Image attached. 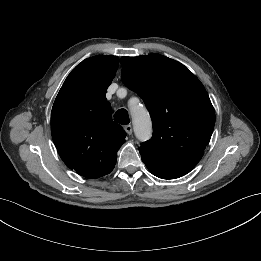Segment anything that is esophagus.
Returning a JSON list of instances; mask_svg holds the SVG:
<instances>
[{"instance_id": "esophagus-1", "label": "esophagus", "mask_w": 261, "mask_h": 261, "mask_svg": "<svg viewBox=\"0 0 261 261\" xmlns=\"http://www.w3.org/2000/svg\"><path fill=\"white\" fill-rule=\"evenodd\" d=\"M124 130L126 131V133H127L128 135H131V134H132V131H133L132 126H131L130 124L125 125V126H124Z\"/></svg>"}]
</instances>
